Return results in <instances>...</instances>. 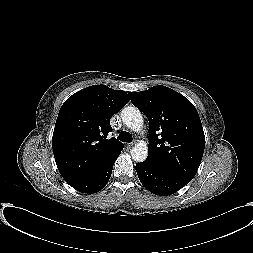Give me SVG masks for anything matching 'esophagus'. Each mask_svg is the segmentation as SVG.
I'll list each match as a JSON object with an SVG mask.
<instances>
[{
    "instance_id": "esophagus-1",
    "label": "esophagus",
    "mask_w": 253,
    "mask_h": 253,
    "mask_svg": "<svg viewBox=\"0 0 253 253\" xmlns=\"http://www.w3.org/2000/svg\"><path fill=\"white\" fill-rule=\"evenodd\" d=\"M134 144H135L134 142L128 143V144H127V147H128V148H131V147L134 146Z\"/></svg>"
}]
</instances>
